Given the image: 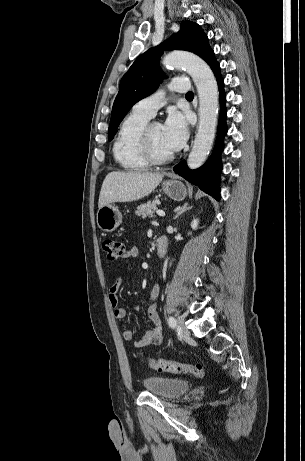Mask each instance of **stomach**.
<instances>
[{
	"instance_id": "1",
	"label": "stomach",
	"mask_w": 305,
	"mask_h": 461,
	"mask_svg": "<svg viewBox=\"0 0 305 461\" xmlns=\"http://www.w3.org/2000/svg\"><path fill=\"white\" fill-rule=\"evenodd\" d=\"M162 190L166 195L175 201H182L186 198L188 190L178 180L171 179L162 183ZM122 214L113 205H106L99 208L97 212V225L105 232H113L122 223Z\"/></svg>"
}]
</instances>
